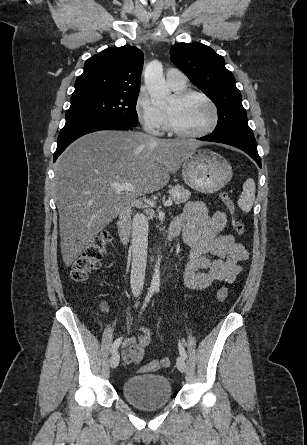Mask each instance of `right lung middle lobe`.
Segmentation results:
<instances>
[{
	"label": "right lung middle lobe",
	"instance_id": "right-lung-middle-lobe-1",
	"mask_svg": "<svg viewBox=\"0 0 307 445\" xmlns=\"http://www.w3.org/2000/svg\"><path fill=\"white\" fill-rule=\"evenodd\" d=\"M137 94H90L71 97L66 121L82 118H108L137 126Z\"/></svg>",
	"mask_w": 307,
	"mask_h": 445
}]
</instances>
